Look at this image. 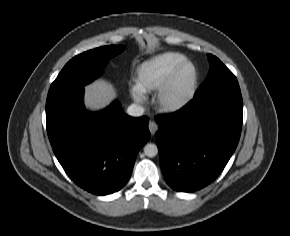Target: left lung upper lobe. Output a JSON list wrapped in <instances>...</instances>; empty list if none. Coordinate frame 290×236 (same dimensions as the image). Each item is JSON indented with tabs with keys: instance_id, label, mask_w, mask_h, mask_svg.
<instances>
[{
	"instance_id": "left-lung-upper-lobe-1",
	"label": "left lung upper lobe",
	"mask_w": 290,
	"mask_h": 236,
	"mask_svg": "<svg viewBox=\"0 0 290 236\" xmlns=\"http://www.w3.org/2000/svg\"><path fill=\"white\" fill-rule=\"evenodd\" d=\"M207 57L210 64L209 74L196 94L228 83L237 82L234 74L217 57L211 54H207Z\"/></svg>"
}]
</instances>
